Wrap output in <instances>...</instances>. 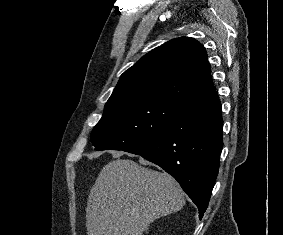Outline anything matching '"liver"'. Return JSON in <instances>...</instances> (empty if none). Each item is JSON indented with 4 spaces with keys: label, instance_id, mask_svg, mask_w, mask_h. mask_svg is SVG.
Listing matches in <instances>:
<instances>
[{
    "label": "liver",
    "instance_id": "liver-1",
    "mask_svg": "<svg viewBox=\"0 0 283 235\" xmlns=\"http://www.w3.org/2000/svg\"><path fill=\"white\" fill-rule=\"evenodd\" d=\"M184 204L183 190L172 176L117 158L102 168L90 191L87 234L142 235L154 220Z\"/></svg>",
    "mask_w": 283,
    "mask_h": 235
}]
</instances>
